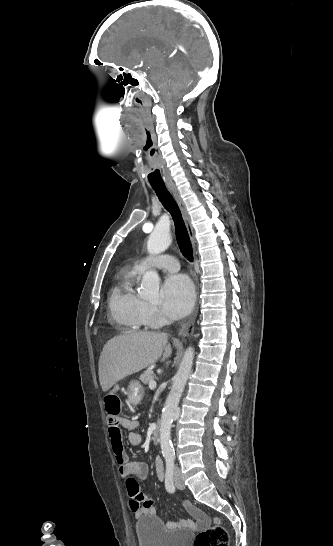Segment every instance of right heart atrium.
Listing matches in <instances>:
<instances>
[{"label":"right heart atrium","mask_w":333,"mask_h":546,"mask_svg":"<svg viewBox=\"0 0 333 546\" xmlns=\"http://www.w3.org/2000/svg\"><path fill=\"white\" fill-rule=\"evenodd\" d=\"M140 312L146 324L159 325L164 321V316L160 310L152 304L142 302Z\"/></svg>","instance_id":"obj_1"}]
</instances>
